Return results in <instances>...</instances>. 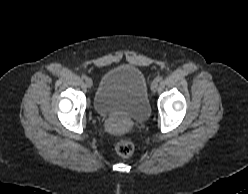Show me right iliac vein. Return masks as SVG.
<instances>
[{
  "label": "right iliac vein",
  "mask_w": 248,
  "mask_h": 194,
  "mask_svg": "<svg viewBox=\"0 0 248 194\" xmlns=\"http://www.w3.org/2000/svg\"><path fill=\"white\" fill-rule=\"evenodd\" d=\"M85 84H86V86H87L88 88H91L92 85H93V82H92V80H91L90 78H87V79L85 80Z\"/></svg>",
  "instance_id": "63e3f726"
}]
</instances>
